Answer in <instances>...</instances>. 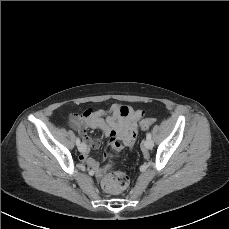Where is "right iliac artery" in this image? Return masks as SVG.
<instances>
[{
  "mask_svg": "<svg viewBox=\"0 0 229 229\" xmlns=\"http://www.w3.org/2000/svg\"><path fill=\"white\" fill-rule=\"evenodd\" d=\"M76 145H77V146L80 145V139H79V138L76 139Z\"/></svg>",
  "mask_w": 229,
  "mask_h": 229,
  "instance_id": "right-iliac-artery-1",
  "label": "right iliac artery"
}]
</instances>
